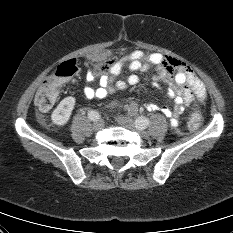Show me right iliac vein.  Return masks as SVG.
I'll return each instance as SVG.
<instances>
[{
	"mask_svg": "<svg viewBox=\"0 0 233 233\" xmlns=\"http://www.w3.org/2000/svg\"><path fill=\"white\" fill-rule=\"evenodd\" d=\"M104 127V122L102 120H96L93 124V130L98 131Z\"/></svg>",
	"mask_w": 233,
	"mask_h": 233,
	"instance_id": "1",
	"label": "right iliac vein"
}]
</instances>
